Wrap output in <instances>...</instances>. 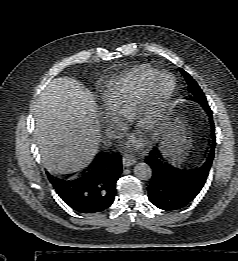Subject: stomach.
I'll list each match as a JSON object with an SVG mask.
<instances>
[{
    "mask_svg": "<svg viewBox=\"0 0 238 261\" xmlns=\"http://www.w3.org/2000/svg\"><path fill=\"white\" fill-rule=\"evenodd\" d=\"M164 142L163 151L172 160H177L184 153L187 145V129L179 115L173 114L156 132Z\"/></svg>",
    "mask_w": 238,
    "mask_h": 261,
    "instance_id": "stomach-1",
    "label": "stomach"
}]
</instances>
